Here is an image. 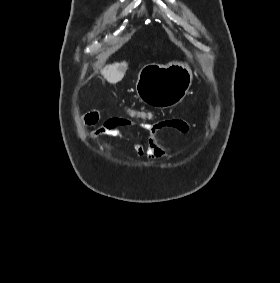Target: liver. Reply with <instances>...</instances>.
<instances>
[{"label":"liver","mask_w":280,"mask_h":283,"mask_svg":"<svg viewBox=\"0 0 280 283\" xmlns=\"http://www.w3.org/2000/svg\"><path fill=\"white\" fill-rule=\"evenodd\" d=\"M127 68L128 63L125 61L121 63H113L104 67L101 74L109 83L116 84L123 79Z\"/></svg>","instance_id":"obj_1"}]
</instances>
